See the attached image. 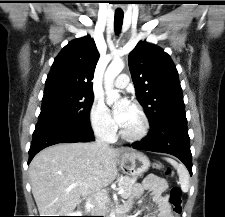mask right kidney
<instances>
[{
	"mask_svg": "<svg viewBox=\"0 0 225 217\" xmlns=\"http://www.w3.org/2000/svg\"><path fill=\"white\" fill-rule=\"evenodd\" d=\"M69 216H79V215H81V214H76V213H74V214H68Z\"/></svg>",
	"mask_w": 225,
	"mask_h": 217,
	"instance_id": "right-kidney-1",
	"label": "right kidney"
}]
</instances>
